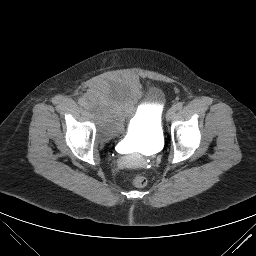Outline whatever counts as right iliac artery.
<instances>
[{
    "label": "right iliac artery",
    "mask_w": 256,
    "mask_h": 256,
    "mask_svg": "<svg viewBox=\"0 0 256 256\" xmlns=\"http://www.w3.org/2000/svg\"><path fill=\"white\" fill-rule=\"evenodd\" d=\"M78 103H79L81 106H84V105L86 104V101H85V99L80 98Z\"/></svg>",
    "instance_id": "right-iliac-artery-1"
}]
</instances>
